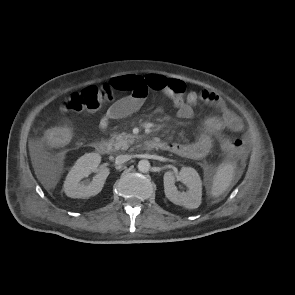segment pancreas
<instances>
[{
	"instance_id": "pancreas-1",
	"label": "pancreas",
	"mask_w": 295,
	"mask_h": 295,
	"mask_svg": "<svg viewBox=\"0 0 295 295\" xmlns=\"http://www.w3.org/2000/svg\"><path fill=\"white\" fill-rule=\"evenodd\" d=\"M112 140H115L114 147L116 150H126L129 147V144L134 142L135 136L125 133L114 134L112 135Z\"/></svg>"
}]
</instances>
